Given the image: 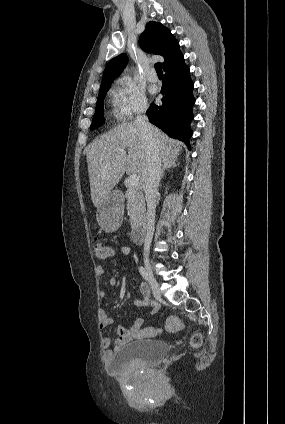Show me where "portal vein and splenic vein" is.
<instances>
[{"mask_svg":"<svg viewBox=\"0 0 285 424\" xmlns=\"http://www.w3.org/2000/svg\"><path fill=\"white\" fill-rule=\"evenodd\" d=\"M139 184V177L136 174H132L128 178V185L130 187L136 188Z\"/></svg>","mask_w":285,"mask_h":424,"instance_id":"1","label":"portal vein and splenic vein"}]
</instances>
